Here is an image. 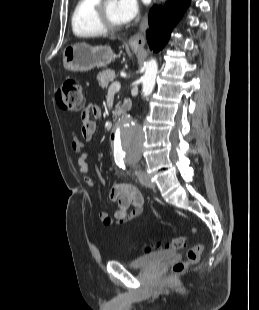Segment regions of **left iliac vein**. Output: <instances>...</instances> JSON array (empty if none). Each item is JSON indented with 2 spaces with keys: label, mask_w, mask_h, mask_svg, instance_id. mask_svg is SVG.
I'll return each instance as SVG.
<instances>
[{
  "label": "left iliac vein",
  "mask_w": 259,
  "mask_h": 310,
  "mask_svg": "<svg viewBox=\"0 0 259 310\" xmlns=\"http://www.w3.org/2000/svg\"><path fill=\"white\" fill-rule=\"evenodd\" d=\"M137 175L139 178V181L142 185L148 187V188H153L154 184L152 183V181L150 180L149 176L147 175L146 172H144L143 170L139 169L137 170Z\"/></svg>",
  "instance_id": "4c4485c4"
}]
</instances>
